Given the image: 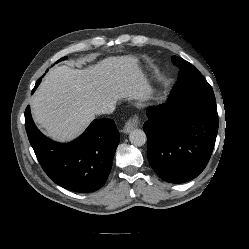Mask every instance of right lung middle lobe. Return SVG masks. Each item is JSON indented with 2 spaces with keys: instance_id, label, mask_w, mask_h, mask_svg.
<instances>
[{
  "instance_id": "right-lung-middle-lobe-1",
  "label": "right lung middle lobe",
  "mask_w": 249,
  "mask_h": 249,
  "mask_svg": "<svg viewBox=\"0 0 249 249\" xmlns=\"http://www.w3.org/2000/svg\"><path fill=\"white\" fill-rule=\"evenodd\" d=\"M66 59V57H64V58H61V59H59L57 62H59V61H61V60H65Z\"/></svg>"
}]
</instances>
